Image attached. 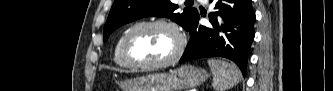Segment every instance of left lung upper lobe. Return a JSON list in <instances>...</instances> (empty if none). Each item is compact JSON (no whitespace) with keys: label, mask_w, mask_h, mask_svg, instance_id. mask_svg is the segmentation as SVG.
Returning <instances> with one entry per match:
<instances>
[{"label":"left lung upper lobe","mask_w":333,"mask_h":91,"mask_svg":"<svg viewBox=\"0 0 333 91\" xmlns=\"http://www.w3.org/2000/svg\"><path fill=\"white\" fill-rule=\"evenodd\" d=\"M185 5L182 13H174L178 6L170 0H115L104 26V42L116 28L148 16L169 17L188 30L198 11L191 0Z\"/></svg>","instance_id":"1"}]
</instances>
